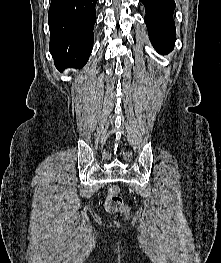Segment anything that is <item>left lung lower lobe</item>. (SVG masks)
Returning <instances> with one entry per match:
<instances>
[{"instance_id": "left-lung-lower-lobe-1", "label": "left lung lower lobe", "mask_w": 221, "mask_h": 263, "mask_svg": "<svg viewBox=\"0 0 221 263\" xmlns=\"http://www.w3.org/2000/svg\"><path fill=\"white\" fill-rule=\"evenodd\" d=\"M145 6V22L149 38L157 52L167 54L175 43L174 0H141Z\"/></svg>"}]
</instances>
